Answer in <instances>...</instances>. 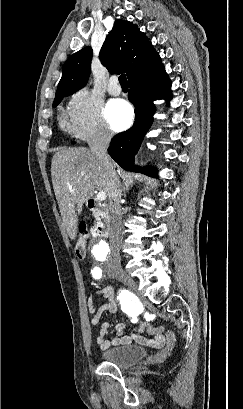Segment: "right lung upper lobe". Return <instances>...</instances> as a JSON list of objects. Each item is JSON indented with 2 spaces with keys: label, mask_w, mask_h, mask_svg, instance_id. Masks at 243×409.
<instances>
[{
  "label": "right lung upper lobe",
  "mask_w": 243,
  "mask_h": 409,
  "mask_svg": "<svg viewBox=\"0 0 243 409\" xmlns=\"http://www.w3.org/2000/svg\"><path fill=\"white\" fill-rule=\"evenodd\" d=\"M92 55V48L88 46L68 58L63 65L55 99L61 95H70L87 83ZM99 58L109 72H125L128 82L146 76L162 66L160 56L147 36L136 25L123 20L114 23Z\"/></svg>",
  "instance_id": "1"
}]
</instances>
